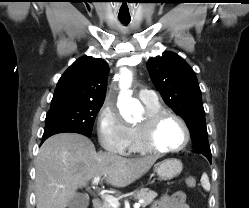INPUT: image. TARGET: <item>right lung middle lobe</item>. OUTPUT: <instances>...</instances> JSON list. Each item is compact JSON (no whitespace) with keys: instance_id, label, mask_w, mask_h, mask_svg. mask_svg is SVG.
<instances>
[{"instance_id":"right-lung-middle-lobe-1","label":"right lung middle lobe","mask_w":249,"mask_h":208,"mask_svg":"<svg viewBox=\"0 0 249 208\" xmlns=\"http://www.w3.org/2000/svg\"><path fill=\"white\" fill-rule=\"evenodd\" d=\"M103 102H69L51 106L45 119L46 130H65L90 136Z\"/></svg>"}]
</instances>
